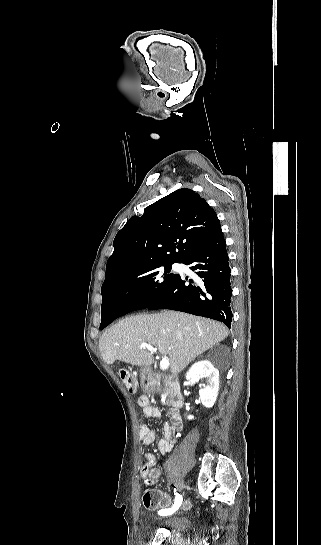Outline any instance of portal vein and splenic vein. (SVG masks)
<instances>
[{
	"label": "portal vein and splenic vein",
	"mask_w": 321,
	"mask_h": 545,
	"mask_svg": "<svg viewBox=\"0 0 321 545\" xmlns=\"http://www.w3.org/2000/svg\"><path fill=\"white\" fill-rule=\"evenodd\" d=\"M140 349H148L151 355H155V353H157V349H154V347H152V345H148V343H141ZM168 367H169V359L165 355V357H162V361H160V369H162V371H166Z\"/></svg>",
	"instance_id": "portal-vein-and-splenic-vein-1"
}]
</instances>
